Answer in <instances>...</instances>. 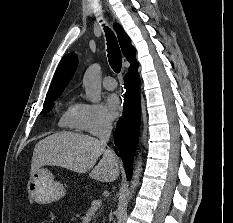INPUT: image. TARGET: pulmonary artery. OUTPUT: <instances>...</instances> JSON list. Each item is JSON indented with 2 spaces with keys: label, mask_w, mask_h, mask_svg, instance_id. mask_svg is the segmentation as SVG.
<instances>
[{
  "label": "pulmonary artery",
  "mask_w": 233,
  "mask_h": 223,
  "mask_svg": "<svg viewBox=\"0 0 233 223\" xmlns=\"http://www.w3.org/2000/svg\"><path fill=\"white\" fill-rule=\"evenodd\" d=\"M104 87L108 90H113L116 87L115 80L112 77H105L103 80Z\"/></svg>",
  "instance_id": "obj_1"
}]
</instances>
